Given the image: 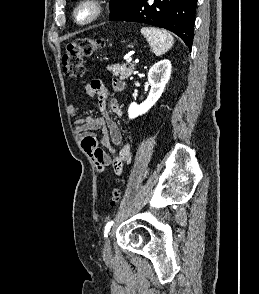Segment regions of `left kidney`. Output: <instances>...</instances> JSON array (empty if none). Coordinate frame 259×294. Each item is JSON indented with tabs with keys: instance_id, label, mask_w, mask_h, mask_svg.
<instances>
[{
	"instance_id": "left-kidney-1",
	"label": "left kidney",
	"mask_w": 259,
	"mask_h": 294,
	"mask_svg": "<svg viewBox=\"0 0 259 294\" xmlns=\"http://www.w3.org/2000/svg\"><path fill=\"white\" fill-rule=\"evenodd\" d=\"M171 68V62L168 59L161 60L150 68L148 72V82L151 85L149 95L140 105L135 102L130 104L128 109V116L130 119L147 113L159 100L170 79Z\"/></svg>"
}]
</instances>
